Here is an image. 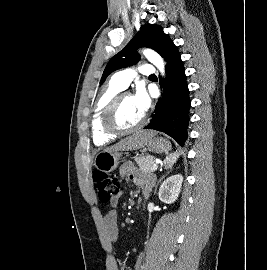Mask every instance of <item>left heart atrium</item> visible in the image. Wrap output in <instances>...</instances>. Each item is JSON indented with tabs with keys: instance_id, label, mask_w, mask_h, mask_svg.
Here are the masks:
<instances>
[{
	"instance_id": "obj_1",
	"label": "left heart atrium",
	"mask_w": 267,
	"mask_h": 270,
	"mask_svg": "<svg viewBox=\"0 0 267 270\" xmlns=\"http://www.w3.org/2000/svg\"><path fill=\"white\" fill-rule=\"evenodd\" d=\"M133 100L139 111L145 114L150 106V97L144 86L140 85L137 87Z\"/></svg>"
}]
</instances>
